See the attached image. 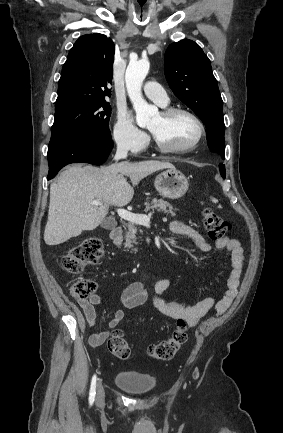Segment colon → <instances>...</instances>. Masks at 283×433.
I'll return each instance as SVG.
<instances>
[{
	"label": "colon",
	"instance_id": "1",
	"mask_svg": "<svg viewBox=\"0 0 283 433\" xmlns=\"http://www.w3.org/2000/svg\"><path fill=\"white\" fill-rule=\"evenodd\" d=\"M202 224L213 240L222 239L230 229V224L213 209L202 212ZM103 254V241L100 237H89L72 247L62 258L63 268L72 274L81 273L87 266L95 263ZM96 290V284L89 279L76 281L71 287V295L77 299H87ZM186 323L178 320L171 336L148 347V355L157 360L171 359L186 343ZM110 353L118 359H128L132 355L131 347L120 329L115 330L108 339Z\"/></svg>",
	"mask_w": 283,
	"mask_h": 433
}]
</instances>
